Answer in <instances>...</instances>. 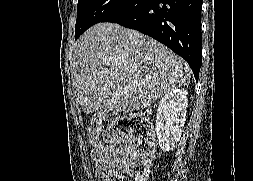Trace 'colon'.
Instances as JSON below:
<instances>
[{
    "label": "colon",
    "instance_id": "obj_1",
    "mask_svg": "<svg viewBox=\"0 0 253 181\" xmlns=\"http://www.w3.org/2000/svg\"><path fill=\"white\" fill-rule=\"evenodd\" d=\"M89 131L92 141L103 148L128 142L125 158L107 181H146L155 153L153 125L147 117L108 112L97 116Z\"/></svg>",
    "mask_w": 253,
    "mask_h": 181
}]
</instances>
